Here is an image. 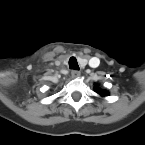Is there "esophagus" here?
<instances>
[{
	"label": "esophagus",
	"instance_id": "esophagus-1",
	"mask_svg": "<svg viewBox=\"0 0 145 145\" xmlns=\"http://www.w3.org/2000/svg\"><path fill=\"white\" fill-rule=\"evenodd\" d=\"M80 71H78V70H72V72H71V76L73 77V78H78L79 76H80Z\"/></svg>",
	"mask_w": 145,
	"mask_h": 145
}]
</instances>
